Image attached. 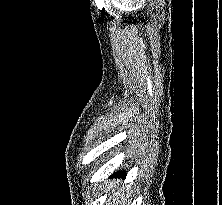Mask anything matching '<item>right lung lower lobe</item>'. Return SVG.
<instances>
[{"instance_id": "98d812e1", "label": "right lung lower lobe", "mask_w": 222, "mask_h": 205, "mask_svg": "<svg viewBox=\"0 0 222 205\" xmlns=\"http://www.w3.org/2000/svg\"><path fill=\"white\" fill-rule=\"evenodd\" d=\"M113 176H115V177H117V176H119V177H122V176H125V172H117V173H115V174H113Z\"/></svg>"}]
</instances>
